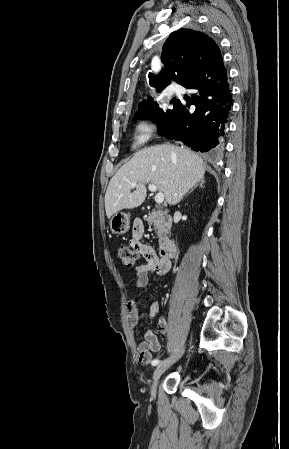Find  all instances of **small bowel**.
Wrapping results in <instances>:
<instances>
[{
	"label": "small bowel",
	"instance_id": "obj_1",
	"mask_svg": "<svg viewBox=\"0 0 289 449\" xmlns=\"http://www.w3.org/2000/svg\"><path fill=\"white\" fill-rule=\"evenodd\" d=\"M144 226L141 220H135L132 226L130 245L134 247L145 259L144 263L138 264L136 269V287L143 289L149 283V276L165 277L171 268L169 259L159 257L155 250L142 242ZM141 302L135 299L127 301L129 323L136 327L139 322V306ZM160 314V303L154 301L149 307V315L156 317ZM158 329L163 335L168 333V324L163 317L158 320ZM161 350V344L153 330L148 329L144 333V340L138 345L139 361L143 365L152 363V354Z\"/></svg>",
	"mask_w": 289,
	"mask_h": 449
}]
</instances>
